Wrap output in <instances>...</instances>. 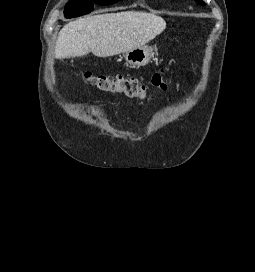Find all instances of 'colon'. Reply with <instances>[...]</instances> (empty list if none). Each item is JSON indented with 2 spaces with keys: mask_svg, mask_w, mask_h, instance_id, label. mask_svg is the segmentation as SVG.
Returning a JSON list of instances; mask_svg holds the SVG:
<instances>
[{
  "mask_svg": "<svg viewBox=\"0 0 255 272\" xmlns=\"http://www.w3.org/2000/svg\"><path fill=\"white\" fill-rule=\"evenodd\" d=\"M83 77L97 89L112 93L120 94L129 99H149L152 90H167L170 80L164 69L154 73L149 84L140 82L135 77L112 74H93L84 72Z\"/></svg>",
  "mask_w": 255,
  "mask_h": 272,
  "instance_id": "obj_1",
  "label": "colon"
}]
</instances>
